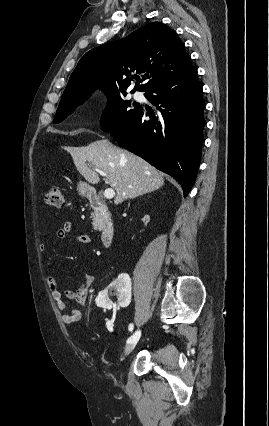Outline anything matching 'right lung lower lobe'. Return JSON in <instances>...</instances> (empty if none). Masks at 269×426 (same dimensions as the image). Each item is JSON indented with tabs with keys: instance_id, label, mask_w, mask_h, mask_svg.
I'll list each match as a JSON object with an SVG mask.
<instances>
[{
	"instance_id": "98d812e1",
	"label": "right lung lower lobe",
	"mask_w": 269,
	"mask_h": 426,
	"mask_svg": "<svg viewBox=\"0 0 269 426\" xmlns=\"http://www.w3.org/2000/svg\"><path fill=\"white\" fill-rule=\"evenodd\" d=\"M146 92L157 111L138 107L120 127L110 131L111 136L119 146L173 176L187 196L198 173L206 123L197 71L191 66Z\"/></svg>"
}]
</instances>
